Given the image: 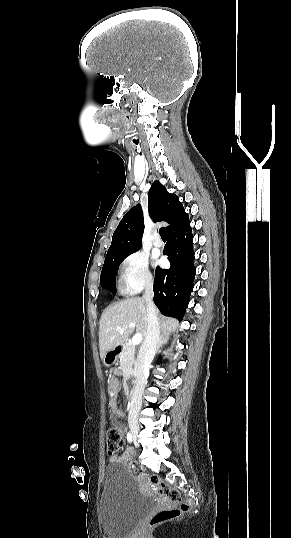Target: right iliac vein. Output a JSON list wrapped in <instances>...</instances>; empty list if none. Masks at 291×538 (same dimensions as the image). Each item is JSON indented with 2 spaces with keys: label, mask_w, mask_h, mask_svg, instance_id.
I'll return each instance as SVG.
<instances>
[{
  "label": "right iliac vein",
  "mask_w": 291,
  "mask_h": 538,
  "mask_svg": "<svg viewBox=\"0 0 291 538\" xmlns=\"http://www.w3.org/2000/svg\"><path fill=\"white\" fill-rule=\"evenodd\" d=\"M129 427H130L131 435H132L134 441L136 442L137 441V436H138V431H139V425L135 421H130L129 422Z\"/></svg>",
  "instance_id": "63e3f726"
}]
</instances>
